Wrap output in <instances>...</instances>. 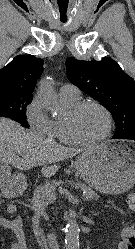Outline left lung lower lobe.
<instances>
[{
  "label": "left lung lower lobe",
  "mask_w": 135,
  "mask_h": 249,
  "mask_svg": "<svg viewBox=\"0 0 135 249\" xmlns=\"http://www.w3.org/2000/svg\"><path fill=\"white\" fill-rule=\"evenodd\" d=\"M114 139H118V138H114ZM120 139H130V140H134L135 141V131L130 132L129 134L125 135L124 137H122Z\"/></svg>",
  "instance_id": "0a47b994"
}]
</instances>
